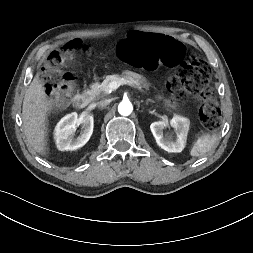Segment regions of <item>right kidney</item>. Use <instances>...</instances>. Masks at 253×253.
<instances>
[{"instance_id":"ca27d5eb","label":"right kidney","mask_w":253,"mask_h":253,"mask_svg":"<svg viewBox=\"0 0 253 253\" xmlns=\"http://www.w3.org/2000/svg\"><path fill=\"white\" fill-rule=\"evenodd\" d=\"M80 124H82L83 132L81 136L74 138L73 135ZM93 126L92 115L79 117L77 113H71L64 116L54 130V139L58 150L73 151L83 147L93 133Z\"/></svg>"}]
</instances>
